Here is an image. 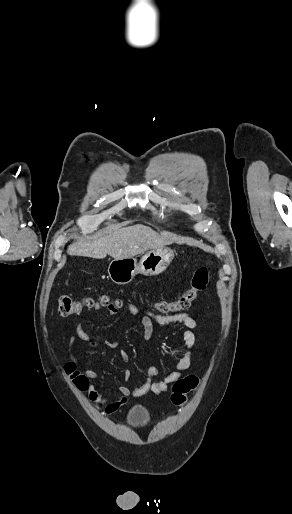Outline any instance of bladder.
Segmentation results:
<instances>
[{"label":"bladder","instance_id":"obj_1","mask_svg":"<svg viewBox=\"0 0 292 514\" xmlns=\"http://www.w3.org/2000/svg\"><path fill=\"white\" fill-rule=\"evenodd\" d=\"M126 420L131 426H142L149 422L150 413L144 406L135 405L129 410Z\"/></svg>","mask_w":292,"mask_h":514}]
</instances>
